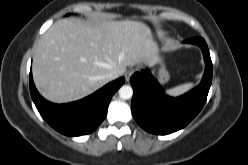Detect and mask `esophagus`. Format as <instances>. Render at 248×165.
Wrapping results in <instances>:
<instances>
[{
  "mask_svg": "<svg viewBox=\"0 0 248 165\" xmlns=\"http://www.w3.org/2000/svg\"><path fill=\"white\" fill-rule=\"evenodd\" d=\"M134 72H135V69H130V70H128V71L126 72L125 78H126L127 81L130 80V77L133 75Z\"/></svg>",
  "mask_w": 248,
  "mask_h": 165,
  "instance_id": "esophagus-1",
  "label": "esophagus"
}]
</instances>
